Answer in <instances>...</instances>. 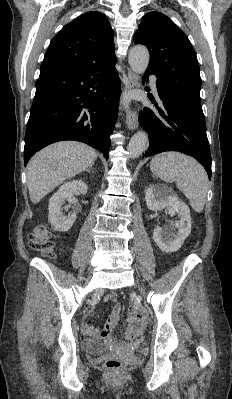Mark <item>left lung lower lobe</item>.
Masks as SVG:
<instances>
[{
    "label": "left lung lower lobe",
    "instance_id": "left-lung-lower-lobe-1",
    "mask_svg": "<svg viewBox=\"0 0 232 399\" xmlns=\"http://www.w3.org/2000/svg\"><path fill=\"white\" fill-rule=\"evenodd\" d=\"M150 74L145 72L144 82H148ZM156 86L159 104L149 97L155 111L145 107L139 113V124L149 134V147L143 157L164 151L182 152L197 159L211 179L212 158L204 117L195 114L158 80Z\"/></svg>",
    "mask_w": 232,
    "mask_h": 399
}]
</instances>
